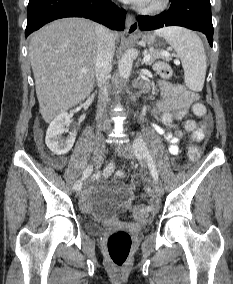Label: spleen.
Wrapping results in <instances>:
<instances>
[{"label":"spleen","mask_w":233,"mask_h":284,"mask_svg":"<svg viewBox=\"0 0 233 284\" xmlns=\"http://www.w3.org/2000/svg\"><path fill=\"white\" fill-rule=\"evenodd\" d=\"M173 47L182 62L186 86L195 92L203 89L207 63L203 43L194 32L171 26L155 32Z\"/></svg>","instance_id":"spleen-1"}]
</instances>
